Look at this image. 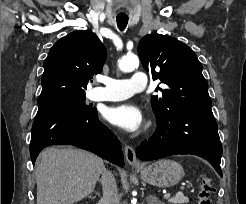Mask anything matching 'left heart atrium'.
Returning <instances> with one entry per match:
<instances>
[{
    "mask_svg": "<svg viewBox=\"0 0 246 204\" xmlns=\"http://www.w3.org/2000/svg\"><path fill=\"white\" fill-rule=\"evenodd\" d=\"M103 115L111 124L129 132L137 131L144 120L141 110L131 103L108 107Z\"/></svg>",
    "mask_w": 246,
    "mask_h": 204,
    "instance_id": "obj_1",
    "label": "left heart atrium"
}]
</instances>
